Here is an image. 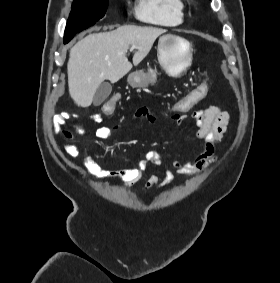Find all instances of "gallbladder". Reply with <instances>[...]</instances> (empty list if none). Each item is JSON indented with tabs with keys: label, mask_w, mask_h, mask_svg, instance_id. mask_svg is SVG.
<instances>
[{
	"label": "gallbladder",
	"mask_w": 280,
	"mask_h": 283,
	"mask_svg": "<svg viewBox=\"0 0 280 283\" xmlns=\"http://www.w3.org/2000/svg\"><path fill=\"white\" fill-rule=\"evenodd\" d=\"M112 86L108 82H102L93 97V104L94 106L101 105L111 94Z\"/></svg>",
	"instance_id": "1"
}]
</instances>
